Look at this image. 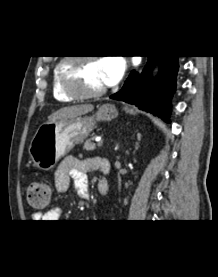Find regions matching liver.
<instances>
[{
	"label": "liver",
	"instance_id": "liver-1",
	"mask_svg": "<svg viewBox=\"0 0 218 277\" xmlns=\"http://www.w3.org/2000/svg\"><path fill=\"white\" fill-rule=\"evenodd\" d=\"M94 106L91 104L75 105L69 107H63L56 112L52 113L48 117L49 122H55L59 120L72 119L82 116L88 112H91Z\"/></svg>",
	"mask_w": 218,
	"mask_h": 277
}]
</instances>
